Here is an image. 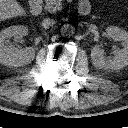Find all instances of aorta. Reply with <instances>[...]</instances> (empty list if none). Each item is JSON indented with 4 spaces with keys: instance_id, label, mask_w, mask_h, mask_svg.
I'll use <instances>...</instances> for the list:
<instances>
[{
    "instance_id": "762f6f07",
    "label": "aorta",
    "mask_w": 128,
    "mask_h": 128,
    "mask_svg": "<svg viewBox=\"0 0 128 128\" xmlns=\"http://www.w3.org/2000/svg\"><path fill=\"white\" fill-rule=\"evenodd\" d=\"M74 29L70 24H64L61 27V33L65 36H70L73 33Z\"/></svg>"
}]
</instances>
